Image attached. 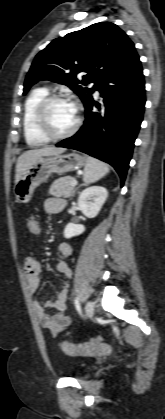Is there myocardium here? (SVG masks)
Wrapping results in <instances>:
<instances>
[{"label": "myocardium", "mask_w": 165, "mask_h": 419, "mask_svg": "<svg viewBox=\"0 0 165 419\" xmlns=\"http://www.w3.org/2000/svg\"><path fill=\"white\" fill-rule=\"evenodd\" d=\"M55 102H70L76 108L75 123L69 130L60 134H56L51 130L49 120H48V110L50 106ZM81 120H82V117H81L80 107L77 104L73 103L70 98L63 95H58V94L48 95L45 98H43L39 102L35 111L36 126L39 132L50 141L63 140V139L71 137L78 130L81 124Z\"/></svg>", "instance_id": "myocardium-1"}]
</instances>
